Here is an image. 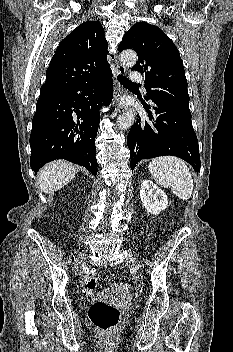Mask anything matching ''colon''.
Returning <instances> with one entry per match:
<instances>
[{
    "label": "colon",
    "mask_w": 233,
    "mask_h": 352,
    "mask_svg": "<svg viewBox=\"0 0 233 352\" xmlns=\"http://www.w3.org/2000/svg\"><path fill=\"white\" fill-rule=\"evenodd\" d=\"M97 287L95 272L88 273L83 281V291L92 294ZM91 323L102 332H110L115 329L120 320V311L115 306L105 301H95L89 308Z\"/></svg>",
    "instance_id": "1"
}]
</instances>
